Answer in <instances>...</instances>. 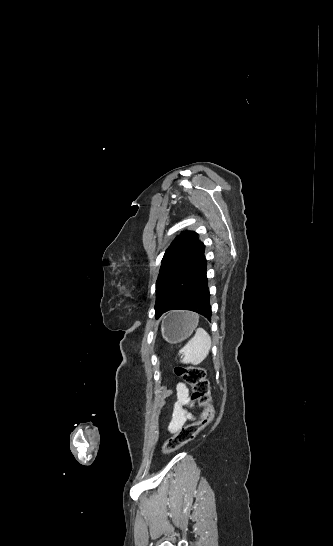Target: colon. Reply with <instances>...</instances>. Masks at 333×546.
Wrapping results in <instances>:
<instances>
[{
	"instance_id": "colon-1",
	"label": "colon",
	"mask_w": 333,
	"mask_h": 546,
	"mask_svg": "<svg viewBox=\"0 0 333 546\" xmlns=\"http://www.w3.org/2000/svg\"><path fill=\"white\" fill-rule=\"evenodd\" d=\"M174 372L192 387L191 399L203 409V413L199 420L183 426L165 441L162 448L165 454L172 453L191 442L215 417L214 408L210 403L209 384L204 369L193 365L176 366Z\"/></svg>"
}]
</instances>
